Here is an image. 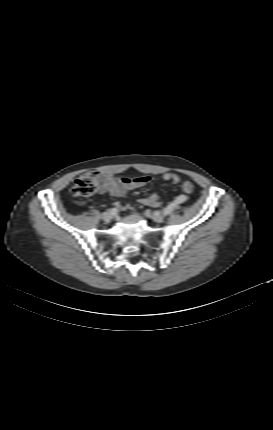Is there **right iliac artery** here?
<instances>
[{"mask_svg":"<svg viewBox=\"0 0 273 430\" xmlns=\"http://www.w3.org/2000/svg\"><path fill=\"white\" fill-rule=\"evenodd\" d=\"M111 211H112V213L115 215V214H117V209L116 208H112L111 209Z\"/></svg>","mask_w":273,"mask_h":430,"instance_id":"82829eb1","label":"right iliac artery"}]
</instances>
